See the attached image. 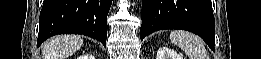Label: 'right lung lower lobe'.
<instances>
[{
    "mask_svg": "<svg viewBox=\"0 0 261 59\" xmlns=\"http://www.w3.org/2000/svg\"><path fill=\"white\" fill-rule=\"evenodd\" d=\"M111 3L112 0H44L37 46L58 34H83L105 46Z\"/></svg>",
    "mask_w": 261,
    "mask_h": 59,
    "instance_id": "98d812e1",
    "label": "right lung lower lobe"
}]
</instances>
